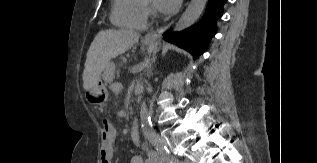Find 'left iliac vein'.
<instances>
[{
    "label": "left iliac vein",
    "instance_id": "1",
    "mask_svg": "<svg viewBox=\"0 0 317 163\" xmlns=\"http://www.w3.org/2000/svg\"><path fill=\"white\" fill-rule=\"evenodd\" d=\"M185 163H191L189 160H187Z\"/></svg>",
    "mask_w": 317,
    "mask_h": 163
}]
</instances>
